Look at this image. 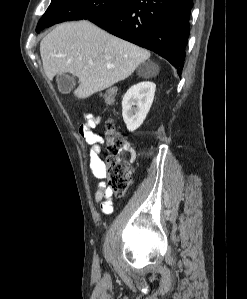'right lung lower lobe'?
Masks as SVG:
<instances>
[{
  "label": "right lung lower lobe",
  "mask_w": 247,
  "mask_h": 299,
  "mask_svg": "<svg viewBox=\"0 0 247 299\" xmlns=\"http://www.w3.org/2000/svg\"><path fill=\"white\" fill-rule=\"evenodd\" d=\"M192 7L193 0H128L89 20L115 36L154 51L181 74Z\"/></svg>",
  "instance_id": "obj_1"
}]
</instances>
